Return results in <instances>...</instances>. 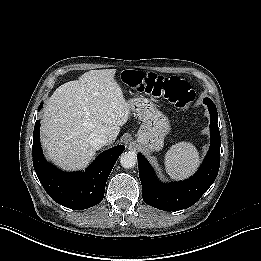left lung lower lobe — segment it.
I'll use <instances>...</instances> for the list:
<instances>
[{
    "mask_svg": "<svg viewBox=\"0 0 261 261\" xmlns=\"http://www.w3.org/2000/svg\"><path fill=\"white\" fill-rule=\"evenodd\" d=\"M203 103L208 106L210 113L211 143L203 164L194 176L183 182L161 184L145 157L138 154L139 177L145 203L164 211L185 209L195 204L214 182L220 166L218 114L209 98H205Z\"/></svg>",
    "mask_w": 261,
    "mask_h": 261,
    "instance_id": "0a47b994",
    "label": "left lung lower lobe"
}]
</instances>
